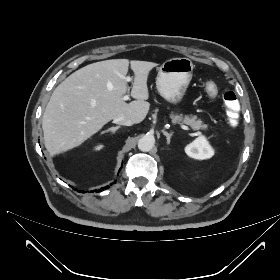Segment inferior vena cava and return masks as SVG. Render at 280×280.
Masks as SVG:
<instances>
[{"label":"inferior vena cava","mask_w":280,"mask_h":280,"mask_svg":"<svg viewBox=\"0 0 280 280\" xmlns=\"http://www.w3.org/2000/svg\"><path fill=\"white\" fill-rule=\"evenodd\" d=\"M113 123L119 124V125H124V126H132L134 122L130 119H127L125 117H117L113 119Z\"/></svg>","instance_id":"inferior-vena-cava-1"}]
</instances>
